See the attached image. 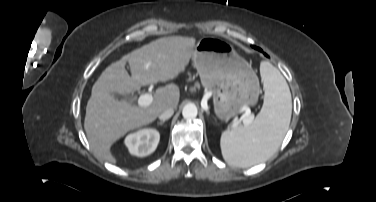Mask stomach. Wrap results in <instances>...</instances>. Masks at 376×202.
<instances>
[{
  "instance_id": "1",
  "label": "stomach",
  "mask_w": 376,
  "mask_h": 202,
  "mask_svg": "<svg viewBox=\"0 0 376 202\" xmlns=\"http://www.w3.org/2000/svg\"><path fill=\"white\" fill-rule=\"evenodd\" d=\"M202 86L212 91L214 112L220 120L234 117L259 97V80L251 65L228 42L201 38L192 54Z\"/></svg>"
}]
</instances>
